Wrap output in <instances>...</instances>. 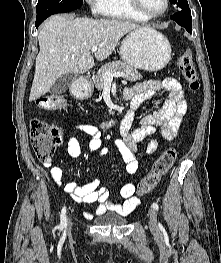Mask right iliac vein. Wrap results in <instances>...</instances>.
Segmentation results:
<instances>
[{"instance_id":"right-iliac-vein-1","label":"right iliac vein","mask_w":221,"mask_h":263,"mask_svg":"<svg viewBox=\"0 0 221 263\" xmlns=\"http://www.w3.org/2000/svg\"><path fill=\"white\" fill-rule=\"evenodd\" d=\"M72 227V221L69 219L67 224V230H70Z\"/></svg>"}]
</instances>
